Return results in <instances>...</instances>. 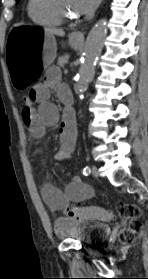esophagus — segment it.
I'll use <instances>...</instances> for the list:
<instances>
[{"mask_svg":"<svg viewBox=\"0 0 148 279\" xmlns=\"http://www.w3.org/2000/svg\"><path fill=\"white\" fill-rule=\"evenodd\" d=\"M84 35H85L84 32H80V31L74 32V36L80 40H84Z\"/></svg>","mask_w":148,"mask_h":279,"instance_id":"esophagus-1","label":"esophagus"}]
</instances>
